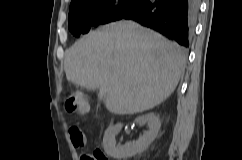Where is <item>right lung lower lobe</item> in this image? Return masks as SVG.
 <instances>
[{
  "instance_id": "98d812e1",
  "label": "right lung lower lobe",
  "mask_w": 242,
  "mask_h": 160,
  "mask_svg": "<svg viewBox=\"0 0 242 160\" xmlns=\"http://www.w3.org/2000/svg\"><path fill=\"white\" fill-rule=\"evenodd\" d=\"M200 0H143L121 19H131L188 47Z\"/></svg>"
}]
</instances>
